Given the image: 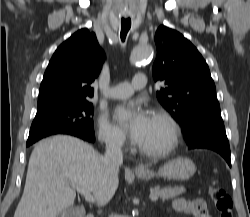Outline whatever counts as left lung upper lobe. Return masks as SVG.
I'll return each mask as SVG.
<instances>
[{
  "label": "left lung upper lobe",
  "instance_id": "1",
  "mask_svg": "<svg viewBox=\"0 0 250 217\" xmlns=\"http://www.w3.org/2000/svg\"><path fill=\"white\" fill-rule=\"evenodd\" d=\"M155 43L153 77L166 85L156 95L180 124L184 136L206 120L221 117L208 65L191 42L162 25L156 31Z\"/></svg>",
  "mask_w": 250,
  "mask_h": 217
}]
</instances>
